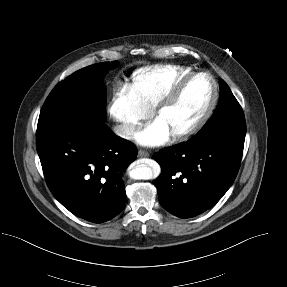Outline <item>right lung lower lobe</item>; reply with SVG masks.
<instances>
[{"mask_svg":"<svg viewBox=\"0 0 287 287\" xmlns=\"http://www.w3.org/2000/svg\"><path fill=\"white\" fill-rule=\"evenodd\" d=\"M36 147L50 191L74 215L102 223L123 210L121 176L137 149L105 122L74 120L37 131Z\"/></svg>","mask_w":287,"mask_h":287,"instance_id":"right-lung-lower-lobe-1","label":"right lung lower lobe"}]
</instances>
